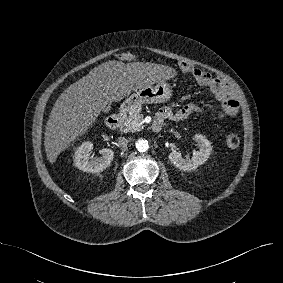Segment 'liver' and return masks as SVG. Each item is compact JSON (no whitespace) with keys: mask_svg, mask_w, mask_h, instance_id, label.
Instances as JSON below:
<instances>
[{"mask_svg":"<svg viewBox=\"0 0 283 283\" xmlns=\"http://www.w3.org/2000/svg\"><path fill=\"white\" fill-rule=\"evenodd\" d=\"M175 75L173 68L149 62L108 61L93 68L56 100L44 133L47 160L54 163L71 142L87 132L101 111L110 110L113 102Z\"/></svg>","mask_w":283,"mask_h":283,"instance_id":"obj_1","label":"liver"}]
</instances>
